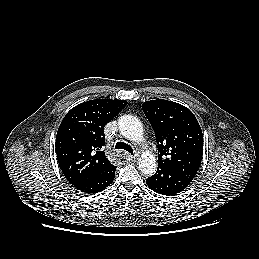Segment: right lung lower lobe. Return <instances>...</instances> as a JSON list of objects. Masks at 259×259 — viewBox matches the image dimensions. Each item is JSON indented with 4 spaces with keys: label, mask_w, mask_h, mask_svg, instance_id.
Listing matches in <instances>:
<instances>
[{
    "label": "right lung lower lobe",
    "mask_w": 259,
    "mask_h": 259,
    "mask_svg": "<svg viewBox=\"0 0 259 259\" xmlns=\"http://www.w3.org/2000/svg\"><path fill=\"white\" fill-rule=\"evenodd\" d=\"M116 167H113L100 176L96 177L93 180L87 181L80 185L75 186L78 190L86 193H97L104 190L107 186H109L113 180L115 175Z\"/></svg>",
    "instance_id": "1"
}]
</instances>
